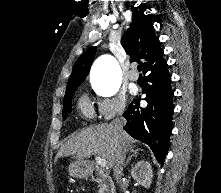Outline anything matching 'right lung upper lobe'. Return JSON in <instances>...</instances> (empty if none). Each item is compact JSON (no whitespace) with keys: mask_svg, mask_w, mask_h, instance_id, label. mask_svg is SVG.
Listing matches in <instances>:
<instances>
[{"mask_svg":"<svg viewBox=\"0 0 221 193\" xmlns=\"http://www.w3.org/2000/svg\"><path fill=\"white\" fill-rule=\"evenodd\" d=\"M121 44L130 55V61H143L140 63L144 74L167 64L163 58V50L159 46V39L154 33L153 21L146 15L134 14L131 27L122 36ZM95 53L96 47H90L76 60L67 88L80 85L84 81Z\"/></svg>","mask_w":221,"mask_h":193,"instance_id":"cb5924a9","label":"right lung upper lobe"}]
</instances>
